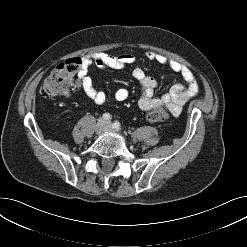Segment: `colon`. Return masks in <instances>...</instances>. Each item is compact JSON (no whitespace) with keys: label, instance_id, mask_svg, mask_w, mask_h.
Segmentation results:
<instances>
[{"label":"colon","instance_id":"5ec220e1","mask_svg":"<svg viewBox=\"0 0 247 247\" xmlns=\"http://www.w3.org/2000/svg\"><path fill=\"white\" fill-rule=\"evenodd\" d=\"M79 67V58H71L59 64L44 81L40 90L41 95L50 99L66 94L77 87L79 84ZM167 117L168 111L164 106H156L145 115L146 121L150 123L162 122Z\"/></svg>","mask_w":247,"mask_h":247}]
</instances>
